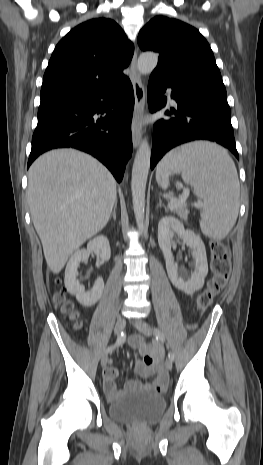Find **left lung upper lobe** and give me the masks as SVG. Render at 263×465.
Masks as SVG:
<instances>
[{
	"label": "left lung upper lobe",
	"instance_id": "obj_1",
	"mask_svg": "<svg viewBox=\"0 0 263 465\" xmlns=\"http://www.w3.org/2000/svg\"><path fill=\"white\" fill-rule=\"evenodd\" d=\"M138 44L143 51L160 54L152 73L173 80H191L212 92L226 95L213 52L194 27L177 19L157 16L139 32Z\"/></svg>",
	"mask_w": 263,
	"mask_h": 465
}]
</instances>
